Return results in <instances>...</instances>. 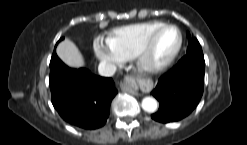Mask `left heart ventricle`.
Masks as SVG:
<instances>
[{
	"instance_id": "left-heart-ventricle-1",
	"label": "left heart ventricle",
	"mask_w": 247,
	"mask_h": 145,
	"mask_svg": "<svg viewBox=\"0 0 247 145\" xmlns=\"http://www.w3.org/2000/svg\"><path fill=\"white\" fill-rule=\"evenodd\" d=\"M178 44V34L173 28L162 30L156 37L147 57L150 65L159 64L167 60Z\"/></svg>"
}]
</instances>
